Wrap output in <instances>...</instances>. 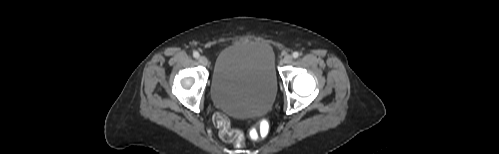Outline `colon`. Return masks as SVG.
<instances>
[{
    "label": "colon",
    "mask_w": 499,
    "mask_h": 154,
    "mask_svg": "<svg viewBox=\"0 0 499 154\" xmlns=\"http://www.w3.org/2000/svg\"><path fill=\"white\" fill-rule=\"evenodd\" d=\"M213 123L220 129L221 138L226 141L233 143L237 147H242L245 145L247 135L241 130L235 129L231 126L229 118L221 113L216 112L212 117ZM268 133V125L260 124L256 130L249 133L251 138L264 137Z\"/></svg>",
    "instance_id": "colon-1"
}]
</instances>
